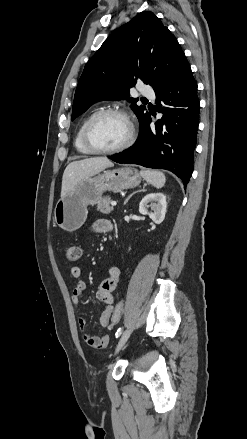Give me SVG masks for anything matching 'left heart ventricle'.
Segmentation results:
<instances>
[{"mask_svg": "<svg viewBox=\"0 0 247 439\" xmlns=\"http://www.w3.org/2000/svg\"><path fill=\"white\" fill-rule=\"evenodd\" d=\"M127 122L119 116H104L93 125L91 139L95 146L111 149L121 145L128 137Z\"/></svg>", "mask_w": 247, "mask_h": 439, "instance_id": "obj_1", "label": "left heart ventricle"}]
</instances>
